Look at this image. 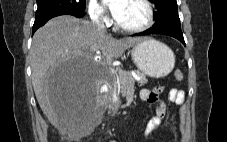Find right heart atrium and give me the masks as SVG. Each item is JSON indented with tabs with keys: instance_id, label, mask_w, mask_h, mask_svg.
I'll list each match as a JSON object with an SVG mask.
<instances>
[{
	"instance_id": "right-heart-atrium-1",
	"label": "right heart atrium",
	"mask_w": 227,
	"mask_h": 142,
	"mask_svg": "<svg viewBox=\"0 0 227 142\" xmlns=\"http://www.w3.org/2000/svg\"><path fill=\"white\" fill-rule=\"evenodd\" d=\"M87 12L94 23L100 25H107L109 23L105 9L96 0H88Z\"/></svg>"
}]
</instances>
